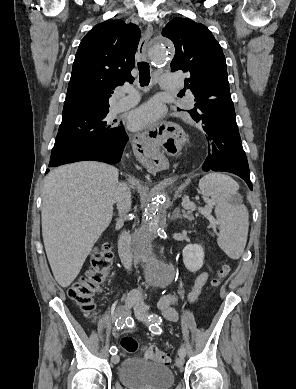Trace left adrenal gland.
<instances>
[{
  "label": "left adrenal gland",
  "instance_id": "a2214340",
  "mask_svg": "<svg viewBox=\"0 0 296 389\" xmlns=\"http://www.w3.org/2000/svg\"><path fill=\"white\" fill-rule=\"evenodd\" d=\"M176 219H182V215L180 214V208H176L171 216V221H174Z\"/></svg>",
  "mask_w": 296,
  "mask_h": 389
}]
</instances>
